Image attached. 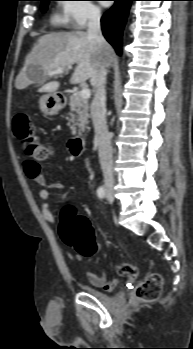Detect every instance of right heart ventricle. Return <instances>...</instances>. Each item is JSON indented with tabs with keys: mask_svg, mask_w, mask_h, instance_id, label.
I'll return each instance as SVG.
<instances>
[{
	"mask_svg": "<svg viewBox=\"0 0 193 349\" xmlns=\"http://www.w3.org/2000/svg\"><path fill=\"white\" fill-rule=\"evenodd\" d=\"M55 21H59V19L56 17V18H55Z\"/></svg>",
	"mask_w": 193,
	"mask_h": 349,
	"instance_id": "e07e8e85",
	"label": "right heart ventricle"
}]
</instances>
